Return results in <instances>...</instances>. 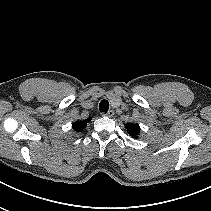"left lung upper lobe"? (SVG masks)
I'll return each instance as SVG.
<instances>
[{
	"instance_id": "1",
	"label": "left lung upper lobe",
	"mask_w": 211,
	"mask_h": 211,
	"mask_svg": "<svg viewBox=\"0 0 211 211\" xmlns=\"http://www.w3.org/2000/svg\"><path fill=\"white\" fill-rule=\"evenodd\" d=\"M126 129L128 130V133L133 138H137V135L139 134L140 127L139 125L134 124H125Z\"/></svg>"
}]
</instances>
